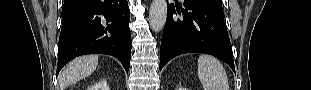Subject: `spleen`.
Returning a JSON list of instances; mask_svg holds the SVG:
<instances>
[{
  "label": "spleen",
  "instance_id": "spleen-1",
  "mask_svg": "<svg viewBox=\"0 0 311 90\" xmlns=\"http://www.w3.org/2000/svg\"><path fill=\"white\" fill-rule=\"evenodd\" d=\"M198 77L204 90H229L226 71L213 56H199Z\"/></svg>",
  "mask_w": 311,
  "mask_h": 90
}]
</instances>
